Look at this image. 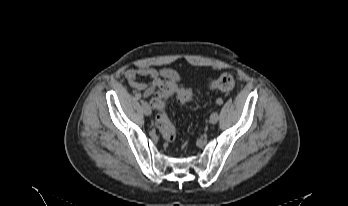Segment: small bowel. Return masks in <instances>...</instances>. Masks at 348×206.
Here are the masks:
<instances>
[{
	"mask_svg": "<svg viewBox=\"0 0 348 206\" xmlns=\"http://www.w3.org/2000/svg\"><path fill=\"white\" fill-rule=\"evenodd\" d=\"M128 84L143 92L145 98H149L159 89L163 81L170 80L176 82L178 75L171 69H156L152 67H137L128 69L124 73ZM141 77L147 78L148 82H141Z\"/></svg>",
	"mask_w": 348,
	"mask_h": 206,
	"instance_id": "obj_1",
	"label": "small bowel"
}]
</instances>
